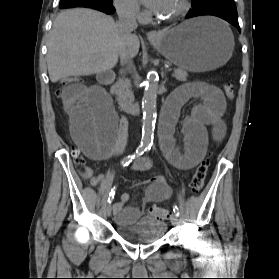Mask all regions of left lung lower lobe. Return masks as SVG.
Listing matches in <instances>:
<instances>
[{
    "instance_id": "obj_1",
    "label": "left lung lower lobe",
    "mask_w": 279,
    "mask_h": 279,
    "mask_svg": "<svg viewBox=\"0 0 279 279\" xmlns=\"http://www.w3.org/2000/svg\"><path fill=\"white\" fill-rule=\"evenodd\" d=\"M193 10L186 15L192 18L201 15L220 17L235 26L240 32L238 14L234 0H197L192 2Z\"/></svg>"
}]
</instances>
